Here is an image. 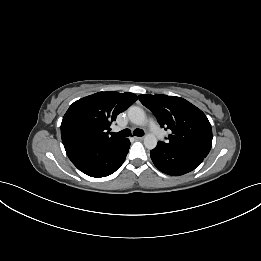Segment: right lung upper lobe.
Segmentation results:
<instances>
[{
    "label": "right lung upper lobe",
    "instance_id": "obj_1",
    "mask_svg": "<svg viewBox=\"0 0 261 261\" xmlns=\"http://www.w3.org/2000/svg\"><path fill=\"white\" fill-rule=\"evenodd\" d=\"M137 100L133 93L98 92L75 101L61 123L64 145L76 142H113L109 137L110 125L119 113Z\"/></svg>",
    "mask_w": 261,
    "mask_h": 261
}]
</instances>
